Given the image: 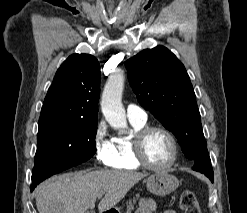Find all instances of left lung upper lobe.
<instances>
[{
  "label": "left lung upper lobe",
  "mask_w": 247,
  "mask_h": 213,
  "mask_svg": "<svg viewBox=\"0 0 247 213\" xmlns=\"http://www.w3.org/2000/svg\"><path fill=\"white\" fill-rule=\"evenodd\" d=\"M139 103L171 131L189 159L207 149L196 96L184 65L166 47L145 49L125 62Z\"/></svg>",
  "instance_id": "obj_1"
}]
</instances>
